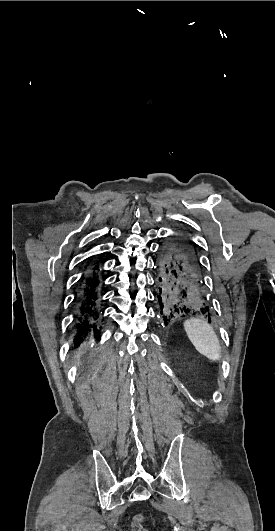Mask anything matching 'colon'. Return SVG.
Masks as SVG:
<instances>
[{"mask_svg": "<svg viewBox=\"0 0 275 531\" xmlns=\"http://www.w3.org/2000/svg\"><path fill=\"white\" fill-rule=\"evenodd\" d=\"M145 517L141 514L136 515L131 522V531H146L143 526Z\"/></svg>", "mask_w": 275, "mask_h": 531, "instance_id": "5ec220e1", "label": "colon"}]
</instances>
